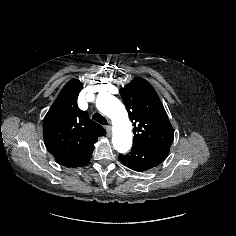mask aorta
Segmentation results:
<instances>
[{
    "label": "aorta",
    "instance_id": "obj_1",
    "mask_svg": "<svg viewBox=\"0 0 236 236\" xmlns=\"http://www.w3.org/2000/svg\"><path fill=\"white\" fill-rule=\"evenodd\" d=\"M96 106L113 123L112 143L114 149L120 153H126L132 145L131 123L123 104L112 95H100Z\"/></svg>",
    "mask_w": 236,
    "mask_h": 236
}]
</instances>
